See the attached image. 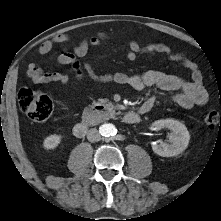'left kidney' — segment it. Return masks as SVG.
Here are the masks:
<instances>
[{
  "label": "left kidney",
  "mask_w": 221,
  "mask_h": 221,
  "mask_svg": "<svg viewBox=\"0 0 221 221\" xmlns=\"http://www.w3.org/2000/svg\"><path fill=\"white\" fill-rule=\"evenodd\" d=\"M154 129L167 128L171 130L170 144H153L152 150L159 156L172 157L182 153L188 146L190 134L186 126L173 119H162L152 124Z\"/></svg>",
  "instance_id": "1"
}]
</instances>
